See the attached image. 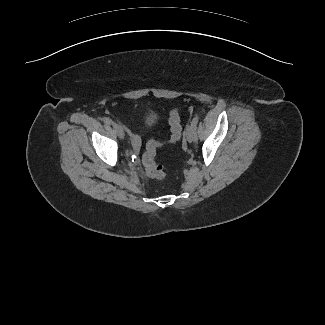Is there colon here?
Segmentation results:
<instances>
[{
	"mask_svg": "<svg viewBox=\"0 0 325 325\" xmlns=\"http://www.w3.org/2000/svg\"><path fill=\"white\" fill-rule=\"evenodd\" d=\"M169 125L171 135L168 143H176L182 138L181 119L177 109L170 112ZM163 145L162 142L157 140H150L146 145V150L142 157V162L147 174L156 179H162L165 176L163 167L156 163L155 157L159 147Z\"/></svg>",
	"mask_w": 325,
	"mask_h": 325,
	"instance_id": "obj_1",
	"label": "colon"
}]
</instances>
